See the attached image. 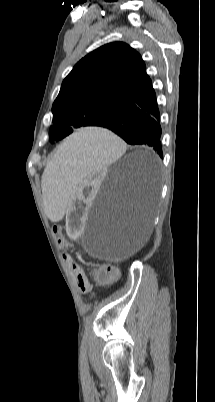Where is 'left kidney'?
Segmentation results:
<instances>
[{"label":"left kidney","mask_w":215,"mask_h":402,"mask_svg":"<svg viewBox=\"0 0 215 402\" xmlns=\"http://www.w3.org/2000/svg\"><path fill=\"white\" fill-rule=\"evenodd\" d=\"M106 176L104 169H99L93 175H88L84 178L83 184H79L78 191L71 194V203L68 204L67 209V225L66 230L70 240L82 239L84 234L81 232L83 229V216L85 212L91 207L93 200L96 197L95 193H100L102 178Z\"/></svg>","instance_id":"5707ae66"}]
</instances>
